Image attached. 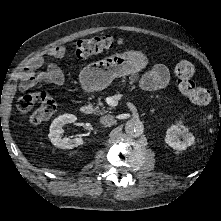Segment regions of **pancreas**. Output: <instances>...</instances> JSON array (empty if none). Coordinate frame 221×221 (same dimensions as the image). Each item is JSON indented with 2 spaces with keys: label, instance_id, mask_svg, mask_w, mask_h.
Here are the masks:
<instances>
[{
  "label": "pancreas",
  "instance_id": "cf45deb5",
  "mask_svg": "<svg viewBox=\"0 0 221 221\" xmlns=\"http://www.w3.org/2000/svg\"><path fill=\"white\" fill-rule=\"evenodd\" d=\"M130 81L129 84L132 85L135 81L138 80V76L137 75H132L131 77H129ZM126 84V80H123V85ZM135 88L134 86H132V89ZM92 112L95 115H102L105 114L107 112H109L108 110L105 109V107H103V103L101 101V98L98 99V106L94 107L92 109Z\"/></svg>",
  "mask_w": 221,
  "mask_h": 221
}]
</instances>
